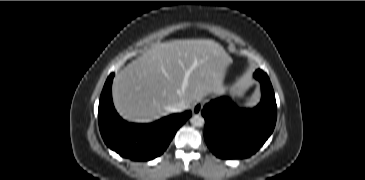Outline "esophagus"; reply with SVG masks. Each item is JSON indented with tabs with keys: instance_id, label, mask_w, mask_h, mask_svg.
Listing matches in <instances>:
<instances>
[{
	"instance_id": "obj_1",
	"label": "esophagus",
	"mask_w": 365,
	"mask_h": 180,
	"mask_svg": "<svg viewBox=\"0 0 365 180\" xmlns=\"http://www.w3.org/2000/svg\"><path fill=\"white\" fill-rule=\"evenodd\" d=\"M202 109H203V103L198 101V102L193 104L192 113L194 115H199L201 113Z\"/></svg>"
}]
</instances>
